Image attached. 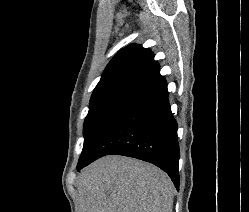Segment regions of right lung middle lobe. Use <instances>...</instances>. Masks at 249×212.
I'll list each match as a JSON object with an SVG mask.
<instances>
[{
    "label": "right lung middle lobe",
    "instance_id": "obj_1",
    "mask_svg": "<svg viewBox=\"0 0 249 212\" xmlns=\"http://www.w3.org/2000/svg\"><path fill=\"white\" fill-rule=\"evenodd\" d=\"M133 93H110L90 100L89 111L84 121V145L78 161L80 166L112 123V121L136 98Z\"/></svg>",
    "mask_w": 249,
    "mask_h": 212
}]
</instances>
